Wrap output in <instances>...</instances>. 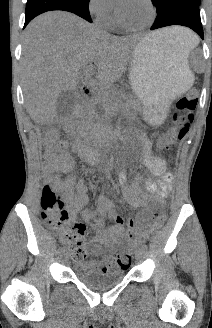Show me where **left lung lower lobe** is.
I'll use <instances>...</instances> for the list:
<instances>
[{"label":"left lung lower lobe","mask_w":212,"mask_h":328,"mask_svg":"<svg viewBox=\"0 0 212 328\" xmlns=\"http://www.w3.org/2000/svg\"><path fill=\"white\" fill-rule=\"evenodd\" d=\"M156 6L157 17L151 30L170 25H182L194 30L202 39L204 38L200 19L199 5L191 0H164L153 1Z\"/></svg>","instance_id":"0a47b994"}]
</instances>
